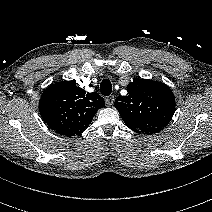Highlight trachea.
<instances>
[{
	"label": "trachea",
	"instance_id": "1",
	"mask_svg": "<svg viewBox=\"0 0 212 212\" xmlns=\"http://www.w3.org/2000/svg\"><path fill=\"white\" fill-rule=\"evenodd\" d=\"M100 91L102 95L109 96L112 92V85L109 79L102 80L100 84Z\"/></svg>",
	"mask_w": 212,
	"mask_h": 212
}]
</instances>
